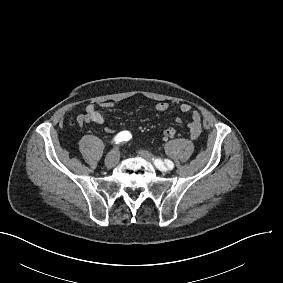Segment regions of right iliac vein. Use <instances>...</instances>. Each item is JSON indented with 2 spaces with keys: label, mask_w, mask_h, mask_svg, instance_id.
<instances>
[{
  "label": "right iliac vein",
  "mask_w": 283,
  "mask_h": 283,
  "mask_svg": "<svg viewBox=\"0 0 283 283\" xmlns=\"http://www.w3.org/2000/svg\"><path fill=\"white\" fill-rule=\"evenodd\" d=\"M119 161V152L117 150H112L108 153L105 158L104 164L107 168L114 167Z\"/></svg>",
  "instance_id": "right-iliac-vein-1"
}]
</instances>
